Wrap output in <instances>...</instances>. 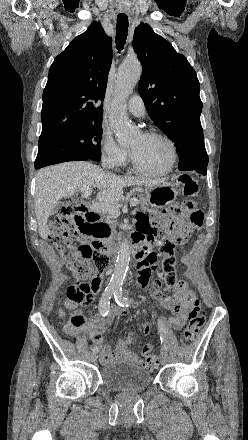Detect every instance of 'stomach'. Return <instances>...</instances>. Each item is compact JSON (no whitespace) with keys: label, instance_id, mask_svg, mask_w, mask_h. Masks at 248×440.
I'll use <instances>...</instances> for the list:
<instances>
[{"label":"stomach","instance_id":"0dacf381","mask_svg":"<svg viewBox=\"0 0 248 440\" xmlns=\"http://www.w3.org/2000/svg\"><path fill=\"white\" fill-rule=\"evenodd\" d=\"M146 199L148 203L155 208H164L172 204L178 196V191L173 184L169 182H159L145 188ZM113 231V224L110 218H97L92 235L96 241H109V232ZM81 241L88 239V231L84 230L79 234Z\"/></svg>","mask_w":248,"mask_h":440}]
</instances>
